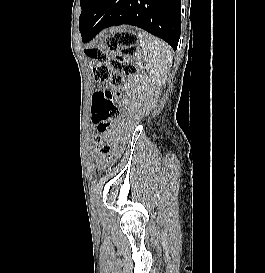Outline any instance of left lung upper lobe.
I'll use <instances>...</instances> for the list:
<instances>
[{"label":"left lung upper lobe","instance_id":"left-lung-upper-lobe-1","mask_svg":"<svg viewBox=\"0 0 265 273\" xmlns=\"http://www.w3.org/2000/svg\"><path fill=\"white\" fill-rule=\"evenodd\" d=\"M90 1L91 0H81L80 1L82 12H81V15H80V18H79V27H80V24H81V21L83 19L84 14L87 12V10L89 8Z\"/></svg>","mask_w":265,"mask_h":273}]
</instances>
